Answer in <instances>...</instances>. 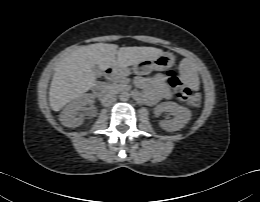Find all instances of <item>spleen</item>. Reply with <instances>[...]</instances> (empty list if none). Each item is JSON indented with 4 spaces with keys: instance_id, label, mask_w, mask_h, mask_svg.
I'll return each instance as SVG.
<instances>
[{
    "instance_id": "obj_1",
    "label": "spleen",
    "mask_w": 260,
    "mask_h": 202,
    "mask_svg": "<svg viewBox=\"0 0 260 202\" xmlns=\"http://www.w3.org/2000/svg\"><path fill=\"white\" fill-rule=\"evenodd\" d=\"M185 73H188V75H191V73H189L188 71H185Z\"/></svg>"
}]
</instances>
